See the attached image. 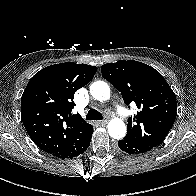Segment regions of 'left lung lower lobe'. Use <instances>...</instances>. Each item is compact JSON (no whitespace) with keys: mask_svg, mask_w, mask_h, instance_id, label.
I'll return each mask as SVG.
<instances>
[{"mask_svg":"<svg viewBox=\"0 0 196 196\" xmlns=\"http://www.w3.org/2000/svg\"><path fill=\"white\" fill-rule=\"evenodd\" d=\"M118 146L128 154L146 153L151 150V148L137 144L127 138L118 141Z\"/></svg>","mask_w":196,"mask_h":196,"instance_id":"0a47b994","label":"left lung lower lobe"}]
</instances>
